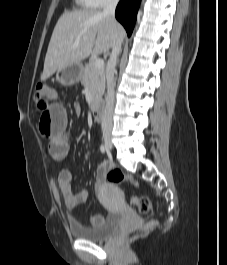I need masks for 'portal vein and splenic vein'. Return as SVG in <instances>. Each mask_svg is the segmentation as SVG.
Returning a JSON list of instances; mask_svg holds the SVG:
<instances>
[{"label": "portal vein and splenic vein", "instance_id": "portal-vein-and-splenic-vein-1", "mask_svg": "<svg viewBox=\"0 0 227 265\" xmlns=\"http://www.w3.org/2000/svg\"><path fill=\"white\" fill-rule=\"evenodd\" d=\"M95 68H103L104 67V61L103 59H96L94 61Z\"/></svg>", "mask_w": 227, "mask_h": 265}]
</instances>
